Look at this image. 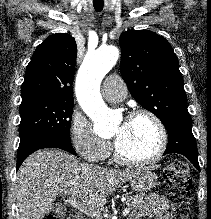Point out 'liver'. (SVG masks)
Returning a JSON list of instances; mask_svg holds the SVG:
<instances>
[{
  "label": "liver",
  "mask_w": 211,
  "mask_h": 219,
  "mask_svg": "<svg viewBox=\"0 0 211 219\" xmlns=\"http://www.w3.org/2000/svg\"><path fill=\"white\" fill-rule=\"evenodd\" d=\"M136 174L137 170L117 171L81 164L74 156L56 149L37 151L17 172L18 219H42L53 209L58 194L77 196L88 208H101L120 183Z\"/></svg>",
  "instance_id": "liver-1"
}]
</instances>
